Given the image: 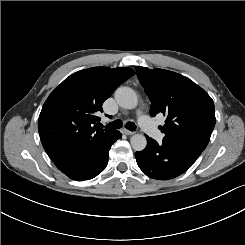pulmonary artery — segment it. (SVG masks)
Returning <instances> with one entry per match:
<instances>
[{
    "mask_svg": "<svg viewBox=\"0 0 245 245\" xmlns=\"http://www.w3.org/2000/svg\"><path fill=\"white\" fill-rule=\"evenodd\" d=\"M138 126L143 130L144 135L153 143H160L164 139V132L160 128H157L151 117H141L138 121Z\"/></svg>",
    "mask_w": 245,
    "mask_h": 245,
    "instance_id": "e3ab8cb5",
    "label": "pulmonary artery"
}]
</instances>
